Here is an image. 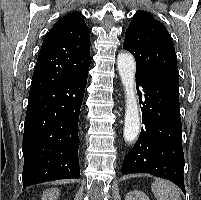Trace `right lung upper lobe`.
<instances>
[{"label":"right lung upper lobe","mask_w":201,"mask_h":200,"mask_svg":"<svg viewBox=\"0 0 201 200\" xmlns=\"http://www.w3.org/2000/svg\"><path fill=\"white\" fill-rule=\"evenodd\" d=\"M90 29L79 11L68 13L47 33L37 59L30 92L80 75L91 62Z\"/></svg>","instance_id":"right-lung-upper-lobe-1"}]
</instances>
